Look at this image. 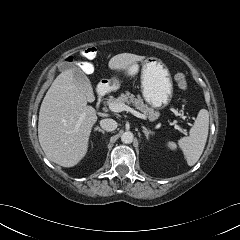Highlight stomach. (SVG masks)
I'll return each instance as SVG.
<instances>
[{
	"instance_id": "stomach-1",
	"label": "stomach",
	"mask_w": 240,
	"mask_h": 240,
	"mask_svg": "<svg viewBox=\"0 0 240 240\" xmlns=\"http://www.w3.org/2000/svg\"><path fill=\"white\" fill-rule=\"evenodd\" d=\"M139 66L134 63L126 71L129 76L138 73ZM112 89H118L120 82L117 78L108 80ZM141 91L144 100L153 108H165L173 95V83L170 72L158 58H147L141 69Z\"/></svg>"
}]
</instances>
